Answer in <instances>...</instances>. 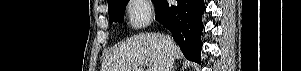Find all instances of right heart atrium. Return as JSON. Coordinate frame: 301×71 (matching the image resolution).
<instances>
[{
  "label": "right heart atrium",
  "mask_w": 301,
  "mask_h": 71,
  "mask_svg": "<svg viewBox=\"0 0 301 71\" xmlns=\"http://www.w3.org/2000/svg\"><path fill=\"white\" fill-rule=\"evenodd\" d=\"M127 17L134 29H141L152 19V10L147 0H131L127 5Z\"/></svg>",
  "instance_id": "right-heart-atrium-1"
}]
</instances>
